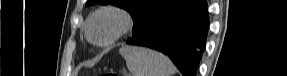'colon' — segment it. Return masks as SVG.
Instances as JSON below:
<instances>
[{"label": "colon", "instance_id": "5ec220e1", "mask_svg": "<svg viewBox=\"0 0 287 76\" xmlns=\"http://www.w3.org/2000/svg\"><path fill=\"white\" fill-rule=\"evenodd\" d=\"M106 76H117V74L114 73V72H112V71H110V72H108V73L106 74Z\"/></svg>", "mask_w": 287, "mask_h": 76}]
</instances>
